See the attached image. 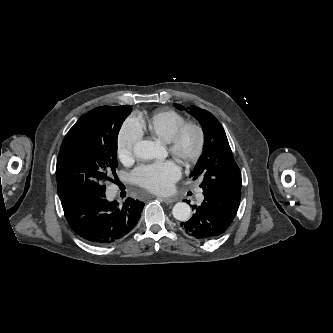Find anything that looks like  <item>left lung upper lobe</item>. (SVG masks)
<instances>
[{
	"label": "left lung upper lobe",
	"instance_id": "1",
	"mask_svg": "<svg viewBox=\"0 0 333 333\" xmlns=\"http://www.w3.org/2000/svg\"><path fill=\"white\" fill-rule=\"evenodd\" d=\"M175 106L183 109L180 105ZM190 114L199 121L204 132L203 153L190 176L203 178L201 188L241 191V173L222 125L213 114L199 107L191 106Z\"/></svg>",
	"mask_w": 333,
	"mask_h": 333
}]
</instances>
